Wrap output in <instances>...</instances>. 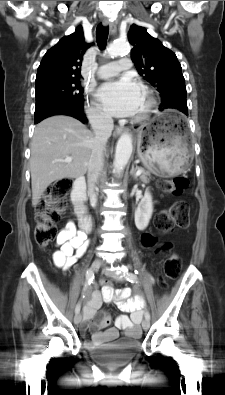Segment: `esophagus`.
<instances>
[{"mask_svg":"<svg viewBox=\"0 0 225 395\" xmlns=\"http://www.w3.org/2000/svg\"><path fill=\"white\" fill-rule=\"evenodd\" d=\"M103 25L105 26V27H109L110 28V31L112 32V33H114V31H115V27H114V24L109 20V19H107V18H105V19H103ZM125 131V128L124 127H116L115 128V131H114V135L115 136H119L120 134H122L123 132Z\"/></svg>","mask_w":225,"mask_h":395,"instance_id":"esophagus-1","label":"esophagus"}]
</instances>
